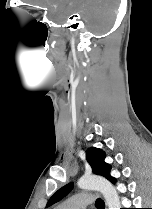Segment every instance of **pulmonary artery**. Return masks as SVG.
I'll list each match as a JSON object with an SVG mask.
<instances>
[{
	"label": "pulmonary artery",
	"instance_id": "e3ab8cb5",
	"mask_svg": "<svg viewBox=\"0 0 152 209\" xmlns=\"http://www.w3.org/2000/svg\"><path fill=\"white\" fill-rule=\"evenodd\" d=\"M94 196L89 193L77 194L66 200L60 209H85L94 202Z\"/></svg>",
	"mask_w": 152,
	"mask_h": 209
}]
</instances>
